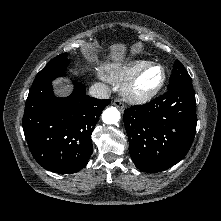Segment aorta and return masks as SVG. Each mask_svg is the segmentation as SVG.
Here are the masks:
<instances>
[{
  "instance_id": "aorta-1",
  "label": "aorta",
  "mask_w": 221,
  "mask_h": 221,
  "mask_svg": "<svg viewBox=\"0 0 221 221\" xmlns=\"http://www.w3.org/2000/svg\"><path fill=\"white\" fill-rule=\"evenodd\" d=\"M120 117V111L116 107H109L102 113V121L105 124H117Z\"/></svg>"
}]
</instances>
